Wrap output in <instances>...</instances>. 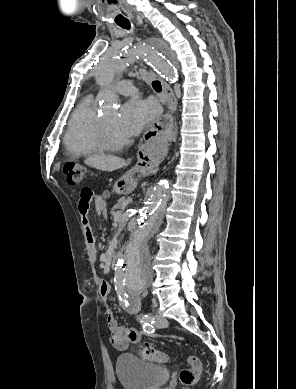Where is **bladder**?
<instances>
[{"label": "bladder", "mask_w": 296, "mask_h": 389, "mask_svg": "<svg viewBox=\"0 0 296 389\" xmlns=\"http://www.w3.org/2000/svg\"><path fill=\"white\" fill-rule=\"evenodd\" d=\"M116 373L123 389H160L170 375L166 367L144 362L130 353L118 356Z\"/></svg>", "instance_id": "obj_1"}]
</instances>
